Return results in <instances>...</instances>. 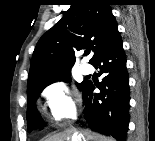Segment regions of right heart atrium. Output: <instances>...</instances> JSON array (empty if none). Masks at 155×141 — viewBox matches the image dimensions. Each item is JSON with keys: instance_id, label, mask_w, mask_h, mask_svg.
<instances>
[{"instance_id": "1", "label": "right heart atrium", "mask_w": 155, "mask_h": 141, "mask_svg": "<svg viewBox=\"0 0 155 141\" xmlns=\"http://www.w3.org/2000/svg\"><path fill=\"white\" fill-rule=\"evenodd\" d=\"M48 116L55 123L70 121L76 116L77 99L67 85L57 81L42 92Z\"/></svg>"}]
</instances>
